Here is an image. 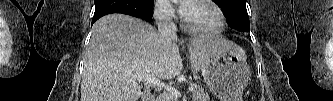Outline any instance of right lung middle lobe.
Masks as SVG:
<instances>
[{
  "label": "right lung middle lobe",
  "mask_w": 333,
  "mask_h": 101,
  "mask_svg": "<svg viewBox=\"0 0 333 101\" xmlns=\"http://www.w3.org/2000/svg\"><path fill=\"white\" fill-rule=\"evenodd\" d=\"M145 2L149 5V6H153L154 0H145Z\"/></svg>",
  "instance_id": "1"
}]
</instances>
